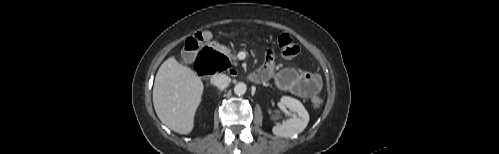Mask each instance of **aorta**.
I'll return each mask as SVG.
<instances>
[{
	"label": "aorta",
	"instance_id": "762f6f07",
	"mask_svg": "<svg viewBox=\"0 0 499 154\" xmlns=\"http://www.w3.org/2000/svg\"><path fill=\"white\" fill-rule=\"evenodd\" d=\"M246 91H247V86H246V84H245V83H243V82H239V83H237V84L235 85V87H234V93H235L236 95H239V96H240V95H243V94H245V93H246Z\"/></svg>",
	"mask_w": 499,
	"mask_h": 154
}]
</instances>
